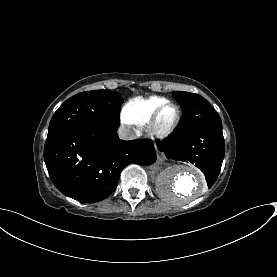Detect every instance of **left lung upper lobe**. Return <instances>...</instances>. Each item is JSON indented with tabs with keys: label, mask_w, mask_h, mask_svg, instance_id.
<instances>
[{
	"label": "left lung upper lobe",
	"mask_w": 277,
	"mask_h": 277,
	"mask_svg": "<svg viewBox=\"0 0 277 277\" xmlns=\"http://www.w3.org/2000/svg\"><path fill=\"white\" fill-rule=\"evenodd\" d=\"M172 96L181 105L183 112V119L178 131L212 124H222L216 111L200 95L184 91H174Z\"/></svg>",
	"instance_id": "1"
}]
</instances>
